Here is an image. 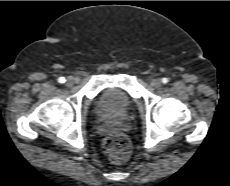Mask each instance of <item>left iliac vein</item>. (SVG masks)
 Returning a JSON list of instances; mask_svg holds the SVG:
<instances>
[{
	"instance_id": "obj_1",
	"label": "left iliac vein",
	"mask_w": 230,
	"mask_h": 186,
	"mask_svg": "<svg viewBox=\"0 0 230 186\" xmlns=\"http://www.w3.org/2000/svg\"><path fill=\"white\" fill-rule=\"evenodd\" d=\"M151 85L155 88H159L162 85V81L159 78H155L151 81Z\"/></svg>"
}]
</instances>
